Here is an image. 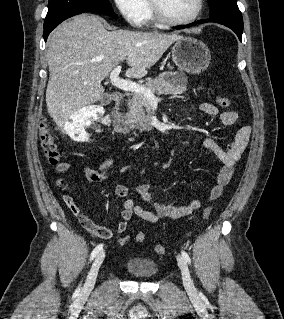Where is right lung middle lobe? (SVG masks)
<instances>
[{"instance_id":"obj_1","label":"right lung middle lobe","mask_w":284,"mask_h":319,"mask_svg":"<svg viewBox=\"0 0 284 319\" xmlns=\"http://www.w3.org/2000/svg\"><path fill=\"white\" fill-rule=\"evenodd\" d=\"M112 11L109 0H49L48 13L44 25L58 18L73 14L90 11Z\"/></svg>"}]
</instances>
